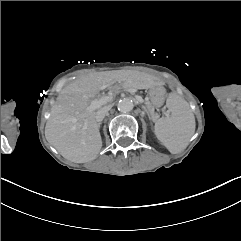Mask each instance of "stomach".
I'll list each match as a JSON object with an SVG mask.
<instances>
[{
  "mask_svg": "<svg viewBox=\"0 0 241 241\" xmlns=\"http://www.w3.org/2000/svg\"><path fill=\"white\" fill-rule=\"evenodd\" d=\"M150 102L155 107H161L165 100V90L162 87H156L149 91Z\"/></svg>",
  "mask_w": 241,
  "mask_h": 241,
  "instance_id": "1",
  "label": "stomach"
}]
</instances>
